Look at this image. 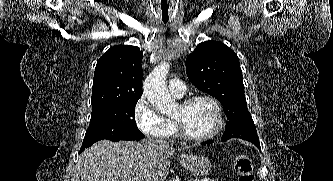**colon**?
I'll return each mask as SVG.
<instances>
[{"label": "colon", "instance_id": "5ec220e1", "mask_svg": "<svg viewBox=\"0 0 333 181\" xmlns=\"http://www.w3.org/2000/svg\"><path fill=\"white\" fill-rule=\"evenodd\" d=\"M234 169L238 174V181H254L251 159L245 155H238L233 159Z\"/></svg>", "mask_w": 333, "mask_h": 181}]
</instances>
